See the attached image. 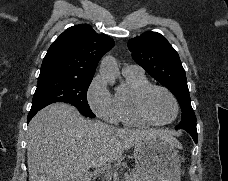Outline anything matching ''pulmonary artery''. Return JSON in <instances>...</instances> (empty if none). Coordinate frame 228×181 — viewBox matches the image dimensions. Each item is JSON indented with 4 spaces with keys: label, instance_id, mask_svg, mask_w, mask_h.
Here are the masks:
<instances>
[{
    "label": "pulmonary artery",
    "instance_id": "1",
    "mask_svg": "<svg viewBox=\"0 0 228 181\" xmlns=\"http://www.w3.org/2000/svg\"><path fill=\"white\" fill-rule=\"evenodd\" d=\"M126 69L129 70V75H142V70H137V65H127Z\"/></svg>",
    "mask_w": 228,
    "mask_h": 181
}]
</instances>
